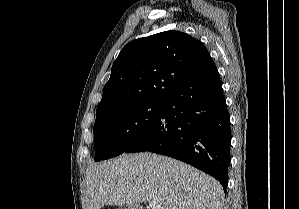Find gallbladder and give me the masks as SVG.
<instances>
[{
	"label": "gallbladder",
	"instance_id": "gallbladder-1",
	"mask_svg": "<svg viewBox=\"0 0 299 209\" xmlns=\"http://www.w3.org/2000/svg\"><path fill=\"white\" fill-rule=\"evenodd\" d=\"M119 209H142V208H140V207H137L136 205H134V204H126L125 206H124V208H122V206L119 208Z\"/></svg>",
	"mask_w": 299,
	"mask_h": 209
}]
</instances>
